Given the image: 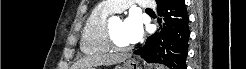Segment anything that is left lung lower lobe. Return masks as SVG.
Listing matches in <instances>:
<instances>
[{"label": "left lung lower lobe", "instance_id": "0a47b994", "mask_svg": "<svg viewBox=\"0 0 246 69\" xmlns=\"http://www.w3.org/2000/svg\"><path fill=\"white\" fill-rule=\"evenodd\" d=\"M161 31L147 38L143 47L134 51L147 62L160 63L169 69H186L189 27L184 0H156Z\"/></svg>", "mask_w": 246, "mask_h": 69}]
</instances>
